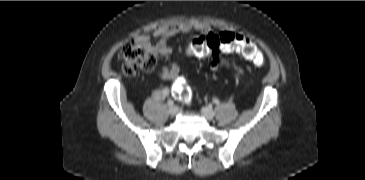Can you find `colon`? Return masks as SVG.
Instances as JSON below:
<instances>
[{"label": "colon", "mask_w": 365, "mask_h": 180, "mask_svg": "<svg viewBox=\"0 0 365 180\" xmlns=\"http://www.w3.org/2000/svg\"><path fill=\"white\" fill-rule=\"evenodd\" d=\"M239 53L244 59L256 66L264 63V56L261 50L252 41L233 33H220L208 35L199 40H193L187 49L190 56L204 57L210 52ZM120 71L124 76L133 77L140 71H151L156 65V58L153 52L140 41L125 43L119 53ZM175 98L189 103L191 91L184 80H177L172 88Z\"/></svg>", "instance_id": "colon-1"}]
</instances>
